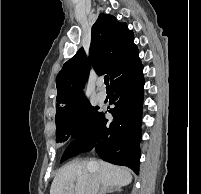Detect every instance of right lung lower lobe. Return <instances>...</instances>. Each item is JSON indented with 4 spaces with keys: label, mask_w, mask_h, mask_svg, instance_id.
<instances>
[{
    "label": "right lung lower lobe",
    "mask_w": 201,
    "mask_h": 194,
    "mask_svg": "<svg viewBox=\"0 0 201 194\" xmlns=\"http://www.w3.org/2000/svg\"><path fill=\"white\" fill-rule=\"evenodd\" d=\"M111 87L113 96L110 104L115 107L109 112L114 119H106L101 112L93 125L73 141L65 153L72 150L77 155L95 148L103 160L128 166L138 174L144 87L140 59L129 71L116 78Z\"/></svg>",
    "instance_id": "98d812e1"
}]
</instances>
